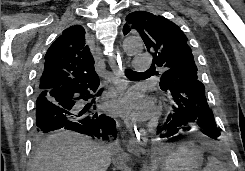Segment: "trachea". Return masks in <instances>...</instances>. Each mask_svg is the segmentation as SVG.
I'll use <instances>...</instances> for the list:
<instances>
[{
	"label": "trachea",
	"instance_id": "1",
	"mask_svg": "<svg viewBox=\"0 0 245 171\" xmlns=\"http://www.w3.org/2000/svg\"><path fill=\"white\" fill-rule=\"evenodd\" d=\"M140 74H141V73L135 72V71H132V70H128V69L125 70V75H126L128 78H131V77H134V76H137V75H140Z\"/></svg>",
	"mask_w": 245,
	"mask_h": 171
}]
</instances>
